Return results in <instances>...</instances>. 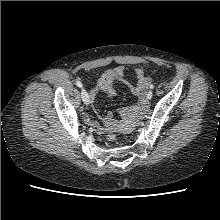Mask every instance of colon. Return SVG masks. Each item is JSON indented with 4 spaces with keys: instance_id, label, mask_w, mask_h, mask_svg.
I'll return each mask as SVG.
<instances>
[{
    "instance_id": "obj_1",
    "label": "colon",
    "mask_w": 220,
    "mask_h": 220,
    "mask_svg": "<svg viewBox=\"0 0 220 220\" xmlns=\"http://www.w3.org/2000/svg\"><path fill=\"white\" fill-rule=\"evenodd\" d=\"M107 140L110 142H115L117 140V136L114 131H109L107 134Z\"/></svg>"
}]
</instances>
